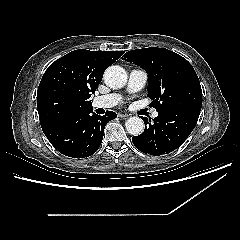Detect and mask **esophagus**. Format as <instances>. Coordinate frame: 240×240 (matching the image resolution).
I'll return each mask as SVG.
<instances>
[{
    "mask_svg": "<svg viewBox=\"0 0 240 240\" xmlns=\"http://www.w3.org/2000/svg\"><path fill=\"white\" fill-rule=\"evenodd\" d=\"M118 117H120V118H128L129 115L128 114H123V113H118Z\"/></svg>",
    "mask_w": 240,
    "mask_h": 240,
    "instance_id": "34e87169",
    "label": "esophagus"
}]
</instances>
